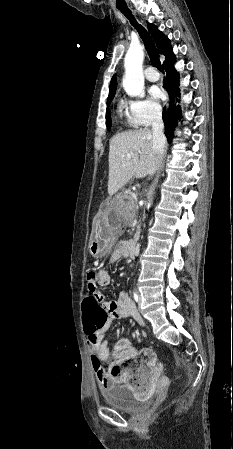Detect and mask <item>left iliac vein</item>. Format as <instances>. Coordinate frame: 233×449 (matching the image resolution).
I'll use <instances>...</instances> for the list:
<instances>
[{
    "label": "left iliac vein",
    "mask_w": 233,
    "mask_h": 449,
    "mask_svg": "<svg viewBox=\"0 0 233 449\" xmlns=\"http://www.w3.org/2000/svg\"><path fill=\"white\" fill-rule=\"evenodd\" d=\"M141 302V297H139V303Z\"/></svg>",
    "instance_id": "4c4485c4"
}]
</instances>
